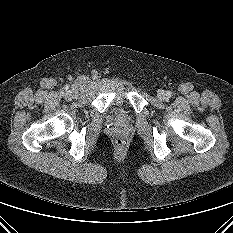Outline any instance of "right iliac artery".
Returning a JSON list of instances; mask_svg holds the SVG:
<instances>
[{
    "mask_svg": "<svg viewBox=\"0 0 233 233\" xmlns=\"http://www.w3.org/2000/svg\"><path fill=\"white\" fill-rule=\"evenodd\" d=\"M67 88H68V87H67ZM67 88H65V89H67ZM60 95L63 96V95H64V91H61V92H60Z\"/></svg>",
    "mask_w": 233,
    "mask_h": 233,
    "instance_id": "1",
    "label": "right iliac artery"
}]
</instances>
